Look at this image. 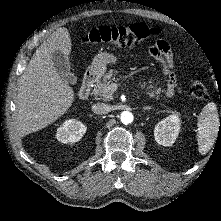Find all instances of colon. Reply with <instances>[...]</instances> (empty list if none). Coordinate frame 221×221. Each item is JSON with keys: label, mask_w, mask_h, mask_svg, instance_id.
Instances as JSON below:
<instances>
[{"label": "colon", "mask_w": 221, "mask_h": 221, "mask_svg": "<svg viewBox=\"0 0 221 221\" xmlns=\"http://www.w3.org/2000/svg\"><path fill=\"white\" fill-rule=\"evenodd\" d=\"M159 33V29L149 28L143 23H135L129 26H102L86 33L83 36V41L93 44L104 43L115 47H129ZM190 92L197 99L206 98L207 87L201 76H197L191 82Z\"/></svg>", "instance_id": "5ec220e1"}]
</instances>
